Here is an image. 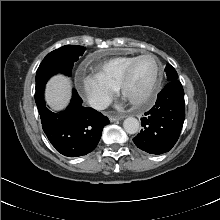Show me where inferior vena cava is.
I'll return each instance as SVG.
<instances>
[{
	"label": "inferior vena cava",
	"mask_w": 220,
	"mask_h": 220,
	"mask_svg": "<svg viewBox=\"0 0 220 220\" xmlns=\"http://www.w3.org/2000/svg\"><path fill=\"white\" fill-rule=\"evenodd\" d=\"M89 104L96 110H104L108 107L109 101L102 96H94L89 99Z\"/></svg>",
	"instance_id": "602c4592"
}]
</instances>
